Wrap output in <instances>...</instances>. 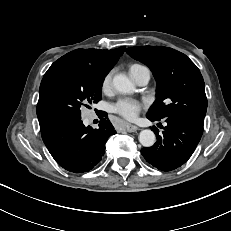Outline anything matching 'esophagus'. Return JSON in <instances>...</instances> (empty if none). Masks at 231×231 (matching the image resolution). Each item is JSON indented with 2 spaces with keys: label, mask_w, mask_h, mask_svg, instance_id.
Segmentation results:
<instances>
[{
  "label": "esophagus",
  "mask_w": 231,
  "mask_h": 231,
  "mask_svg": "<svg viewBox=\"0 0 231 231\" xmlns=\"http://www.w3.org/2000/svg\"><path fill=\"white\" fill-rule=\"evenodd\" d=\"M124 129L127 131V132H135L137 131L139 128L135 125H132V124H126Z\"/></svg>",
  "instance_id": "34e87169"
}]
</instances>
